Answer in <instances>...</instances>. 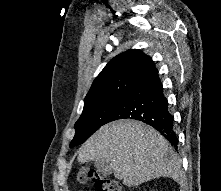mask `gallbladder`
I'll list each match as a JSON object with an SVG mask.
<instances>
[{"label":"gallbladder","mask_w":221,"mask_h":191,"mask_svg":"<svg viewBox=\"0 0 221 191\" xmlns=\"http://www.w3.org/2000/svg\"><path fill=\"white\" fill-rule=\"evenodd\" d=\"M94 165L98 172H100L103 175H109L113 172L112 167L110 164L103 160H95Z\"/></svg>","instance_id":"obj_1"}]
</instances>
